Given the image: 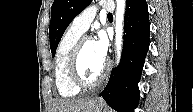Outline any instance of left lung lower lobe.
<instances>
[{"label": "left lung lower lobe", "mask_w": 193, "mask_h": 112, "mask_svg": "<svg viewBox=\"0 0 193 112\" xmlns=\"http://www.w3.org/2000/svg\"><path fill=\"white\" fill-rule=\"evenodd\" d=\"M121 61L100 96L118 112H134L140 97V81L149 49L150 24L146 0H127ZM114 73V76H113Z\"/></svg>", "instance_id": "obj_1"}]
</instances>
